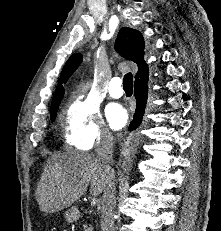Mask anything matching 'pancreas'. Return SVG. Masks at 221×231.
Here are the masks:
<instances>
[{"mask_svg":"<svg viewBox=\"0 0 221 231\" xmlns=\"http://www.w3.org/2000/svg\"><path fill=\"white\" fill-rule=\"evenodd\" d=\"M84 231H92V226L91 225H89V227L84 226Z\"/></svg>","mask_w":221,"mask_h":231,"instance_id":"pancreas-1","label":"pancreas"}]
</instances>
